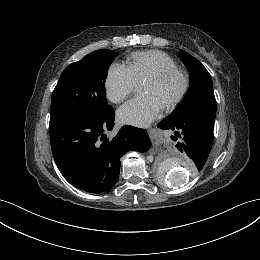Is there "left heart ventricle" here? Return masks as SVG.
I'll list each match as a JSON object with an SVG mask.
<instances>
[{"label": "left heart ventricle", "instance_id": "left-heart-ventricle-1", "mask_svg": "<svg viewBox=\"0 0 260 260\" xmlns=\"http://www.w3.org/2000/svg\"><path fill=\"white\" fill-rule=\"evenodd\" d=\"M182 85V78L176 75L160 84L145 82L143 92L145 94L154 95L163 105H165L180 92Z\"/></svg>", "mask_w": 260, "mask_h": 260}]
</instances>
